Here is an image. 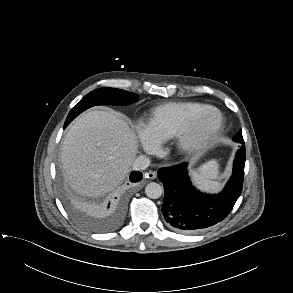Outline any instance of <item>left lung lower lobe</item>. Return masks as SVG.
Listing matches in <instances>:
<instances>
[{"mask_svg": "<svg viewBox=\"0 0 293 293\" xmlns=\"http://www.w3.org/2000/svg\"><path fill=\"white\" fill-rule=\"evenodd\" d=\"M244 166L243 145L236 153L232 176L223 191L213 195L202 193L192 185L187 163L159 169L158 178L164 186L162 212L166 222L180 233H196L222 221L241 194Z\"/></svg>", "mask_w": 293, "mask_h": 293, "instance_id": "1", "label": "left lung lower lobe"}]
</instances>
